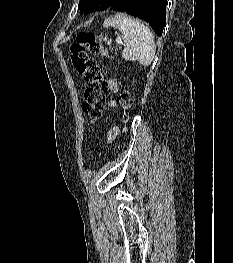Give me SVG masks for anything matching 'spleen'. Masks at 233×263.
<instances>
[{
  "instance_id": "1",
  "label": "spleen",
  "mask_w": 233,
  "mask_h": 263,
  "mask_svg": "<svg viewBox=\"0 0 233 263\" xmlns=\"http://www.w3.org/2000/svg\"><path fill=\"white\" fill-rule=\"evenodd\" d=\"M104 27H114L121 32L125 43L122 57L128 61H137L140 65L148 66L152 63L156 45L150 29L140 20L125 13H117L104 20Z\"/></svg>"
}]
</instances>
